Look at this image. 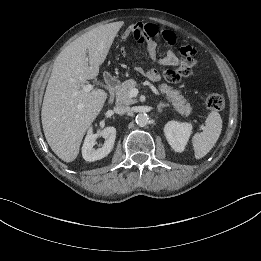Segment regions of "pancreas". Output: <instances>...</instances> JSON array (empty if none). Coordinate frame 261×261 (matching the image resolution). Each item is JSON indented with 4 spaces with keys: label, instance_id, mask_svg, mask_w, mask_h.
<instances>
[{
    "label": "pancreas",
    "instance_id": "pancreas-1",
    "mask_svg": "<svg viewBox=\"0 0 261 261\" xmlns=\"http://www.w3.org/2000/svg\"><path fill=\"white\" fill-rule=\"evenodd\" d=\"M137 85L134 79H128L119 84L116 88V102L118 104L131 105L136 102L135 99L129 96V91ZM159 90L166 95L167 100L173 105L175 110L182 115H189L192 111L190 104L180 94V90L168 86L166 83L159 85Z\"/></svg>",
    "mask_w": 261,
    "mask_h": 261
}]
</instances>
